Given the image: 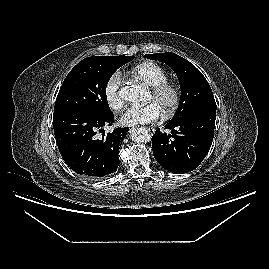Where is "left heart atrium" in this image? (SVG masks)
<instances>
[{
	"instance_id": "1",
	"label": "left heart atrium",
	"mask_w": 269,
	"mask_h": 269,
	"mask_svg": "<svg viewBox=\"0 0 269 269\" xmlns=\"http://www.w3.org/2000/svg\"><path fill=\"white\" fill-rule=\"evenodd\" d=\"M161 110L154 102L145 106H132L120 117V124L123 126H134L139 124H150L157 122L161 117Z\"/></svg>"
}]
</instances>
